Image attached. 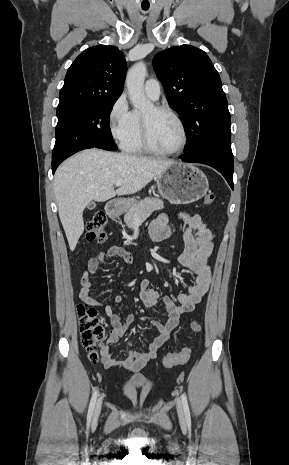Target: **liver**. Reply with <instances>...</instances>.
<instances>
[{"mask_svg": "<svg viewBox=\"0 0 289 465\" xmlns=\"http://www.w3.org/2000/svg\"><path fill=\"white\" fill-rule=\"evenodd\" d=\"M174 163L96 148L64 161L54 176V194L70 250L84 231L83 211L91 200L105 202L116 195L134 194ZM117 180L123 183L115 190Z\"/></svg>", "mask_w": 289, "mask_h": 465, "instance_id": "1", "label": "liver"}]
</instances>
